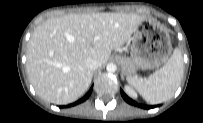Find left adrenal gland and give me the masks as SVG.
Wrapping results in <instances>:
<instances>
[{"label":"left adrenal gland","mask_w":203,"mask_h":123,"mask_svg":"<svg viewBox=\"0 0 203 123\" xmlns=\"http://www.w3.org/2000/svg\"><path fill=\"white\" fill-rule=\"evenodd\" d=\"M121 79L124 80V75H123V73L121 74Z\"/></svg>","instance_id":"obj_1"}]
</instances>
